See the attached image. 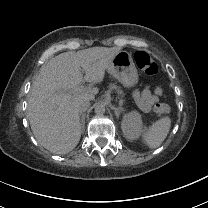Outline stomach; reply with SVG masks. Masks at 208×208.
Masks as SVG:
<instances>
[{
    "instance_id": "stomach-1",
    "label": "stomach",
    "mask_w": 208,
    "mask_h": 208,
    "mask_svg": "<svg viewBox=\"0 0 208 208\" xmlns=\"http://www.w3.org/2000/svg\"><path fill=\"white\" fill-rule=\"evenodd\" d=\"M124 87H134L138 82V73L132 56L127 51H119L111 60L106 69Z\"/></svg>"
}]
</instances>
